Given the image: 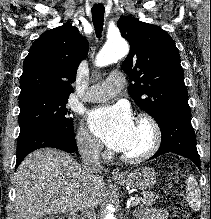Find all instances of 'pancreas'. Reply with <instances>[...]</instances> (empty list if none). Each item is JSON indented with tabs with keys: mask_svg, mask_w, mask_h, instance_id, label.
I'll list each match as a JSON object with an SVG mask.
<instances>
[{
	"mask_svg": "<svg viewBox=\"0 0 211 219\" xmlns=\"http://www.w3.org/2000/svg\"><path fill=\"white\" fill-rule=\"evenodd\" d=\"M143 196L139 198V202L142 206H152L155 200L159 198L158 195L152 192H143Z\"/></svg>",
	"mask_w": 211,
	"mask_h": 219,
	"instance_id": "pancreas-1",
	"label": "pancreas"
}]
</instances>
